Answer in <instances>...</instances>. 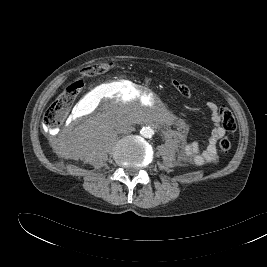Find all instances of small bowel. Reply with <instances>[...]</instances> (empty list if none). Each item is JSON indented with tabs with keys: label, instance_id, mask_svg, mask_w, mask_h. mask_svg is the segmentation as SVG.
I'll return each instance as SVG.
<instances>
[{
	"label": "small bowel",
	"instance_id": "c3829d8e",
	"mask_svg": "<svg viewBox=\"0 0 267 267\" xmlns=\"http://www.w3.org/2000/svg\"><path fill=\"white\" fill-rule=\"evenodd\" d=\"M206 106L213 122V129L206 146L202 148L198 143H187L183 144L181 148V156L195 165L214 163L217 161L216 145L227 130L222 124L220 106L214 102H208Z\"/></svg>",
	"mask_w": 267,
	"mask_h": 267
}]
</instances>
